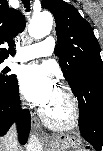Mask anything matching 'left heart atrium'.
<instances>
[{
  "label": "left heart atrium",
  "instance_id": "left-heart-atrium-1",
  "mask_svg": "<svg viewBox=\"0 0 103 151\" xmlns=\"http://www.w3.org/2000/svg\"><path fill=\"white\" fill-rule=\"evenodd\" d=\"M20 85L25 97L43 110L51 103L57 90L50 69L39 64L26 66L21 71Z\"/></svg>",
  "mask_w": 103,
  "mask_h": 151
}]
</instances>
